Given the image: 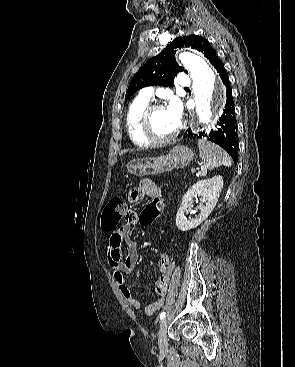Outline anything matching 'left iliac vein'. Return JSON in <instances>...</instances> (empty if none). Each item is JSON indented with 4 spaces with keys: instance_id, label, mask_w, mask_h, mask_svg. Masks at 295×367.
I'll list each match as a JSON object with an SVG mask.
<instances>
[{
    "instance_id": "4c4485c4",
    "label": "left iliac vein",
    "mask_w": 295,
    "mask_h": 367,
    "mask_svg": "<svg viewBox=\"0 0 295 367\" xmlns=\"http://www.w3.org/2000/svg\"><path fill=\"white\" fill-rule=\"evenodd\" d=\"M169 325V317H165L160 324V329L158 333V345L161 352H165L167 350V328Z\"/></svg>"
}]
</instances>
